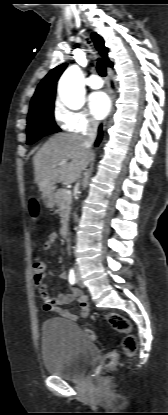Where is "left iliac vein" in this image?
<instances>
[{"label": "left iliac vein", "instance_id": "obj_1", "mask_svg": "<svg viewBox=\"0 0 168 415\" xmlns=\"http://www.w3.org/2000/svg\"><path fill=\"white\" fill-rule=\"evenodd\" d=\"M77 283H78V285H79L80 287H83V286H84L83 281H82V278H81V276H80V273H79V272L77 273Z\"/></svg>", "mask_w": 168, "mask_h": 415}]
</instances>
